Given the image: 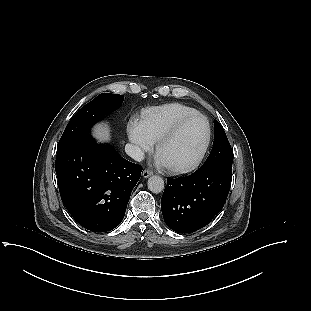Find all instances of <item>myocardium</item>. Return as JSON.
Returning a JSON list of instances; mask_svg holds the SVG:
<instances>
[{
	"label": "myocardium",
	"instance_id": "f54148a6",
	"mask_svg": "<svg viewBox=\"0 0 311 311\" xmlns=\"http://www.w3.org/2000/svg\"><path fill=\"white\" fill-rule=\"evenodd\" d=\"M196 117L203 119L204 123H205L206 138H205L204 144H203L201 150L199 151V153L197 154V156L195 157V159L192 160L191 162L184 164V165H178V166H167V165H165L166 169L170 173H173V174L187 173V172H190V171L196 169L200 165V163L202 162V160L204 159V157L208 151V148H209L210 142H211L212 132H211L210 122L205 115H203L199 112H195V113L186 115V116L178 119L175 122V124L168 131H166L163 135H161V137L157 141L156 154L158 155L161 147L165 143L170 141L172 138H174L186 122H188L189 120L196 118Z\"/></svg>",
	"mask_w": 311,
	"mask_h": 311
}]
</instances>
